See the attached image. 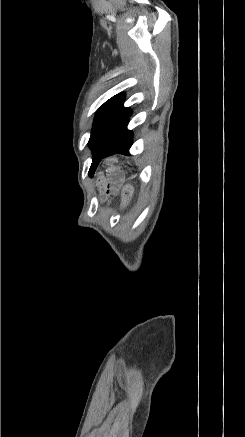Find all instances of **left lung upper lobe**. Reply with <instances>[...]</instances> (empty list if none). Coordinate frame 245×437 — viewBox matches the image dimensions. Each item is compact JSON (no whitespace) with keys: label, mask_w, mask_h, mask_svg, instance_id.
Instances as JSON below:
<instances>
[{"label":"left lung upper lobe","mask_w":245,"mask_h":437,"mask_svg":"<svg viewBox=\"0 0 245 437\" xmlns=\"http://www.w3.org/2000/svg\"><path fill=\"white\" fill-rule=\"evenodd\" d=\"M123 102L124 95L117 94L107 100L98 110L88 142L93 152V162L115 126L129 111L128 108L123 107ZM94 170L91 166L90 171L93 172Z\"/></svg>","instance_id":"obj_1"}]
</instances>
